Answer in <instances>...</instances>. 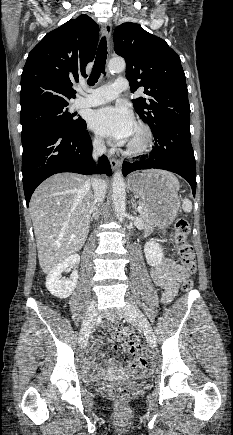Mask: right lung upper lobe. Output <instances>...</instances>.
Instances as JSON below:
<instances>
[{
  "label": "right lung upper lobe",
  "mask_w": 233,
  "mask_h": 435,
  "mask_svg": "<svg viewBox=\"0 0 233 435\" xmlns=\"http://www.w3.org/2000/svg\"><path fill=\"white\" fill-rule=\"evenodd\" d=\"M98 25L80 15L49 32L29 53L21 76L20 116L39 109L68 105L72 88L93 61Z\"/></svg>",
  "instance_id": "1"
}]
</instances>
